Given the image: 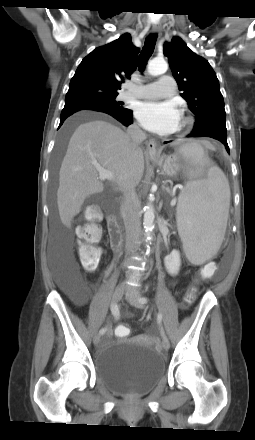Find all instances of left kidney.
<instances>
[{
    "label": "left kidney",
    "mask_w": 255,
    "mask_h": 440,
    "mask_svg": "<svg viewBox=\"0 0 255 440\" xmlns=\"http://www.w3.org/2000/svg\"><path fill=\"white\" fill-rule=\"evenodd\" d=\"M165 267L169 274L176 275L181 265L180 253L177 250H173L164 259Z\"/></svg>",
    "instance_id": "1"
}]
</instances>
